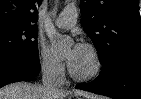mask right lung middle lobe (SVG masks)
<instances>
[{
    "label": "right lung middle lobe",
    "mask_w": 141,
    "mask_h": 99,
    "mask_svg": "<svg viewBox=\"0 0 141 99\" xmlns=\"http://www.w3.org/2000/svg\"><path fill=\"white\" fill-rule=\"evenodd\" d=\"M37 59V26L24 23L0 24V58Z\"/></svg>",
    "instance_id": "obj_1"
}]
</instances>
